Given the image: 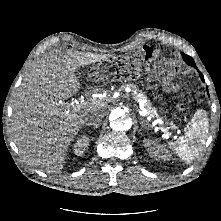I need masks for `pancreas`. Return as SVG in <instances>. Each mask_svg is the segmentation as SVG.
<instances>
[{
  "label": "pancreas",
  "instance_id": "obj_1",
  "mask_svg": "<svg viewBox=\"0 0 221 221\" xmlns=\"http://www.w3.org/2000/svg\"><path fill=\"white\" fill-rule=\"evenodd\" d=\"M128 87L131 88V92H132V95H133V99H134L135 101L140 102V101H142V100H146V99H147L146 95H145L143 92H141V91L137 88L136 85H134V84H129ZM144 106H145V108L147 109V111H148V113H149L150 115H152V116L157 115L156 110H155L153 107H151V104H150L149 102L145 103Z\"/></svg>",
  "mask_w": 221,
  "mask_h": 221
}]
</instances>
